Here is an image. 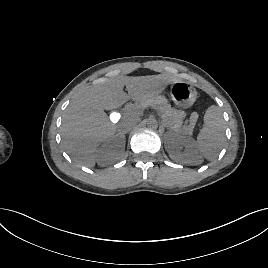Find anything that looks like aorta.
Wrapping results in <instances>:
<instances>
[{
  "label": "aorta",
  "instance_id": "1",
  "mask_svg": "<svg viewBox=\"0 0 268 268\" xmlns=\"http://www.w3.org/2000/svg\"><path fill=\"white\" fill-rule=\"evenodd\" d=\"M146 125L149 129H157L158 128V122L154 117H150L147 119Z\"/></svg>",
  "mask_w": 268,
  "mask_h": 268
}]
</instances>
